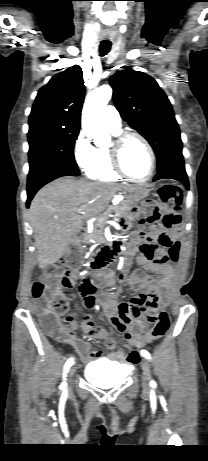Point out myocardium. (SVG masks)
I'll return each mask as SVG.
<instances>
[{
  "mask_svg": "<svg viewBox=\"0 0 208 461\" xmlns=\"http://www.w3.org/2000/svg\"><path fill=\"white\" fill-rule=\"evenodd\" d=\"M131 138H136L140 140L145 146V148L147 149L149 157H150V170L147 176H145L144 178H136V177L129 175L125 171L122 165V160H121L122 150L126 142ZM108 151L110 155L111 165L114 171L121 177L127 178L134 182L144 183V182L149 181L154 175V172L156 169L155 152L151 144L149 143V141L140 133L133 132V131H125V132H121L117 134L114 140L112 141V143L110 144V146L108 147Z\"/></svg>",
  "mask_w": 208,
  "mask_h": 461,
  "instance_id": "1",
  "label": "myocardium"
}]
</instances>
